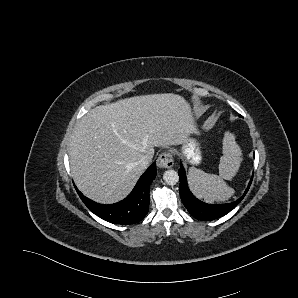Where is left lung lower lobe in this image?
<instances>
[{"instance_id": "0a47b994", "label": "left lung lower lobe", "mask_w": 298, "mask_h": 298, "mask_svg": "<svg viewBox=\"0 0 298 298\" xmlns=\"http://www.w3.org/2000/svg\"><path fill=\"white\" fill-rule=\"evenodd\" d=\"M178 174L180 180V197L184 206L192 216L203 221H210L222 217L235 208L248 192L253 179L252 175L245 193L238 200L227 204L216 205L206 204L192 195L187 185L186 174L182 164Z\"/></svg>"}]
</instances>
